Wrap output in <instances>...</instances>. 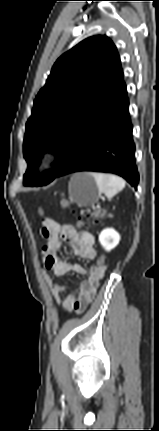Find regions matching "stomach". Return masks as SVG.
I'll list each match as a JSON object with an SVG mask.
<instances>
[{"label":"stomach","mask_w":159,"mask_h":431,"mask_svg":"<svg viewBox=\"0 0 159 431\" xmlns=\"http://www.w3.org/2000/svg\"><path fill=\"white\" fill-rule=\"evenodd\" d=\"M69 191L72 200L79 206L95 204L100 196L97 184L90 173H77L70 182Z\"/></svg>","instance_id":"stomach-1"}]
</instances>
